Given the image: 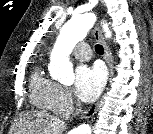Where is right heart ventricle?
<instances>
[{"mask_svg": "<svg viewBox=\"0 0 153 134\" xmlns=\"http://www.w3.org/2000/svg\"><path fill=\"white\" fill-rule=\"evenodd\" d=\"M54 87L55 83L44 76L39 66L36 67L32 73L30 84L32 103L37 107L53 110Z\"/></svg>", "mask_w": 153, "mask_h": 134, "instance_id": "obj_1", "label": "right heart ventricle"}]
</instances>
